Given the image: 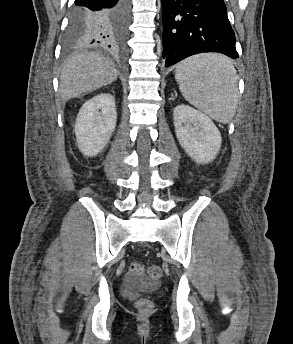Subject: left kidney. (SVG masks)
Returning <instances> with one entry per match:
<instances>
[{"instance_id": "1", "label": "left kidney", "mask_w": 293, "mask_h": 344, "mask_svg": "<svg viewBox=\"0 0 293 344\" xmlns=\"http://www.w3.org/2000/svg\"><path fill=\"white\" fill-rule=\"evenodd\" d=\"M173 115L177 139L188 156L199 164H208L214 160L222 138L213 121L184 104L176 106Z\"/></svg>"}]
</instances>
